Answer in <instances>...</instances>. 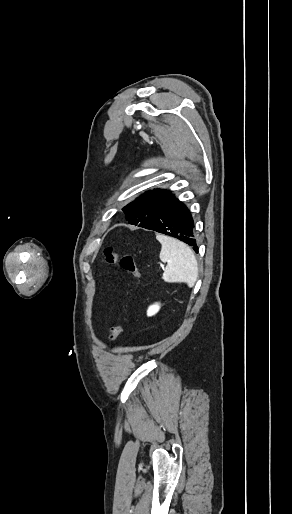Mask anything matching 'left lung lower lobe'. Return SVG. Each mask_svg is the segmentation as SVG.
<instances>
[{
    "label": "left lung lower lobe",
    "mask_w": 292,
    "mask_h": 514,
    "mask_svg": "<svg viewBox=\"0 0 292 514\" xmlns=\"http://www.w3.org/2000/svg\"><path fill=\"white\" fill-rule=\"evenodd\" d=\"M145 228L175 237L192 246L198 253L191 213L174 195L166 202L159 216Z\"/></svg>",
    "instance_id": "0a47b994"
}]
</instances>
